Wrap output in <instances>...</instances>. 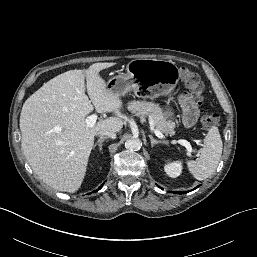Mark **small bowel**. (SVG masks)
Instances as JSON below:
<instances>
[{"label": "small bowel", "mask_w": 257, "mask_h": 257, "mask_svg": "<svg viewBox=\"0 0 257 257\" xmlns=\"http://www.w3.org/2000/svg\"><path fill=\"white\" fill-rule=\"evenodd\" d=\"M179 103L182 108V119L184 125L192 126L199 115L197 104L191 94L185 93L180 96Z\"/></svg>", "instance_id": "obj_1"}]
</instances>
